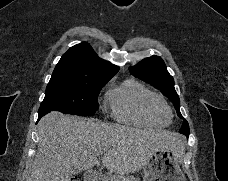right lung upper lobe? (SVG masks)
Instances as JSON below:
<instances>
[{
    "mask_svg": "<svg viewBox=\"0 0 228 181\" xmlns=\"http://www.w3.org/2000/svg\"><path fill=\"white\" fill-rule=\"evenodd\" d=\"M119 68L101 58L88 43L71 47L56 65L50 81L81 83L110 80Z\"/></svg>",
    "mask_w": 228,
    "mask_h": 181,
    "instance_id": "obj_1",
    "label": "right lung upper lobe"
}]
</instances>
